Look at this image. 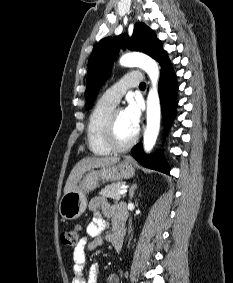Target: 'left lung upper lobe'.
<instances>
[{
    "mask_svg": "<svg viewBox=\"0 0 233 283\" xmlns=\"http://www.w3.org/2000/svg\"><path fill=\"white\" fill-rule=\"evenodd\" d=\"M128 47L140 51L159 60L165 53L156 34L144 23L134 26L133 35L126 34L117 37H106L94 48L90 60L86 87V109H90L95 97L110 74L112 64L120 48Z\"/></svg>",
    "mask_w": 233,
    "mask_h": 283,
    "instance_id": "obj_1",
    "label": "left lung upper lobe"
}]
</instances>
